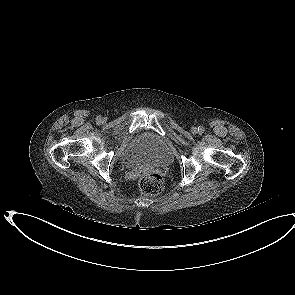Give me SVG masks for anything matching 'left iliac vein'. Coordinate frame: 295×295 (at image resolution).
Segmentation results:
<instances>
[{
	"instance_id": "obj_1",
	"label": "left iliac vein",
	"mask_w": 295,
	"mask_h": 295,
	"mask_svg": "<svg viewBox=\"0 0 295 295\" xmlns=\"http://www.w3.org/2000/svg\"><path fill=\"white\" fill-rule=\"evenodd\" d=\"M192 132L193 133H196L197 132V129L196 128H192Z\"/></svg>"
}]
</instances>
